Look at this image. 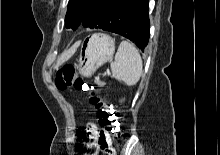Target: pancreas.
I'll return each instance as SVG.
<instances>
[{"label": "pancreas", "instance_id": "cf45deb5", "mask_svg": "<svg viewBox=\"0 0 220 155\" xmlns=\"http://www.w3.org/2000/svg\"><path fill=\"white\" fill-rule=\"evenodd\" d=\"M100 86H102L103 84H101V83H98Z\"/></svg>", "mask_w": 220, "mask_h": 155}]
</instances>
